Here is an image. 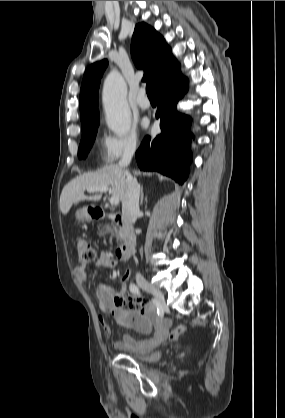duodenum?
Masks as SVG:
<instances>
[{"label":"duodenum","mask_w":285,"mask_h":418,"mask_svg":"<svg viewBox=\"0 0 285 418\" xmlns=\"http://www.w3.org/2000/svg\"><path fill=\"white\" fill-rule=\"evenodd\" d=\"M95 220L106 219L120 227L122 232L123 244L117 249V256L121 260L129 259L133 252L136 241V234L119 213L99 211L94 215Z\"/></svg>","instance_id":"obj_1"}]
</instances>
